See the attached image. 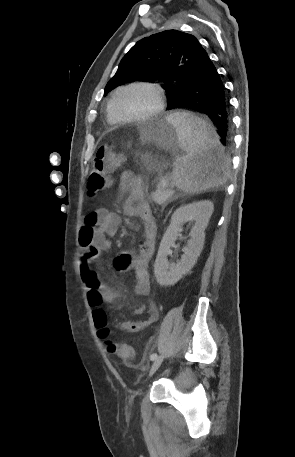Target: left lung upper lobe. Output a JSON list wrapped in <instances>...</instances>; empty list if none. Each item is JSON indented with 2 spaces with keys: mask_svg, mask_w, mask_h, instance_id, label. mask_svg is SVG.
<instances>
[{
  "mask_svg": "<svg viewBox=\"0 0 295 457\" xmlns=\"http://www.w3.org/2000/svg\"><path fill=\"white\" fill-rule=\"evenodd\" d=\"M201 48L195 36L177 30L145 37L122 58L104 93L125 82L158 83L170 103L184 88L188 69Z\"/></svg>",
  "mask_w": 295,
  "mask_h": 457,
  "instance_id": "left-lung-upper-lobe-1",
  "label": "left lung upper lobe"
}]
</instances>
